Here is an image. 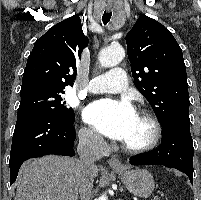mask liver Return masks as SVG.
<instances>
[{
  "instance_id": "1",
  "label": "liver",
  "mask_w": 201,
  "mask_h": 200,
  "mask_svg": "<svg viewBox=\"0 0 201 200\" xmlns=\"http://www.w3.org/2000/svg\"><path fill=\"white\" fill-rule=\"evenodd\" d=\"M98 175L96 168L93 177ZM77 162L55 155L29 160L20 169L15 200H77Z\"/></svg>"
}]
</instances>
